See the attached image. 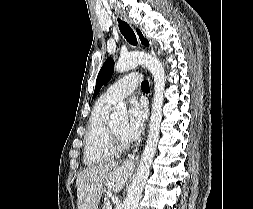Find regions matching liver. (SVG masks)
Returning a JSON list of instances; mask_svg holds the SVG:
<instances>
[{
	"instance_id": "1",
	"label": "liver",
	"mask_w": 253,
	"mask_h": 209,
	"mask_svg": "<svg viewBox=\"0 0 253 209\" xmlns=\"http://www.w3.org/2000/svg\"><path fill=\"white\" fill-rule=\"evenodd\" d=\"M127 177L126 168L119 167L118 162H105L85 168L76 180L77 208L98 209L104 184L107 182L109 189L119 191Z\"/></svg>"
}]
</instances>
